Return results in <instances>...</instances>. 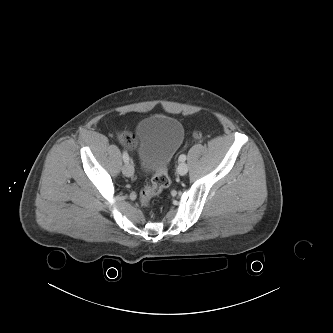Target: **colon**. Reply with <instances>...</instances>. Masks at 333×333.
I'll return each mask as SVG.
<instances>
[{"mask_svg": "<svg viewBox=\"0 0 333 333\" xmlns=\"http://www.w3.org/2000/svg\"><path fill=\"white\" fill-rule=\"evenodd\" d=\"M200 132H195L196 139L201 138ZM120 143L127 149L132 150L135 147V137L130 132H124L119 136ZM170 184V179L166 168L157 170L149 186L145 187L140 193V202L142 206L147 207L152 198L159 195Z\"/></svg>", "mask_w": 333, "mask_h": 333, "instance_id": "1", "label": "colon"}]
</instances>
